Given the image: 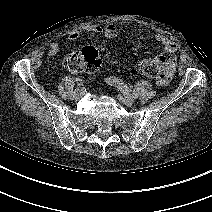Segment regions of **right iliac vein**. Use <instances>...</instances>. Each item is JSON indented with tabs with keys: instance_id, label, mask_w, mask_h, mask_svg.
I'll return each instance as SVG.
<instances>
[{
	"instance_id": "right-iliac-vein-1",
	"label": "right iliac vein",
	"mask_w": 212,
	"mask_h": 212,
	"mask_svg": "<svg viewBox=\"0 0 212 212\" xmlns=\"http://www.w3.org/2000/svg\"><path fill=\"white\" fill-rule=\"evenodd\" d=\"M81 97H82V92L79 91V92L76 93L74 100H79Z\"/></svg>"
}]
</instances>
